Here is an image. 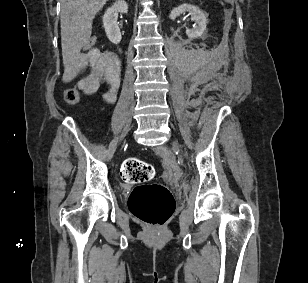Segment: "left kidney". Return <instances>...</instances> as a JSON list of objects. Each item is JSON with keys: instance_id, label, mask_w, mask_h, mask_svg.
Segmentation results:
<instances>
[{"instance_id": "left-kidney-1", "label": "left kidney", "mask_w": 308, "mask_h": 283, "mask_svg": "<svg viewBox=\"0 0 308 283\" xmlns=\"http://www.w3.org/2000/svg\"><path fill=\"white\" fill-rule=\"evenodd\" d=\"M189 12L191 15V20L195 22L192 29H186V34L189 38H198L203 35L206 30L207 19L203 11L198 7L189 4H182L177 8H174L169 17L171 20H175L180 14Z\"/></svg>"}]
</instances>
